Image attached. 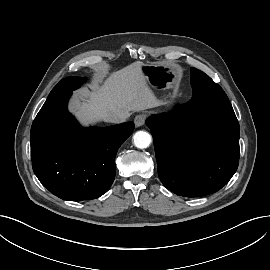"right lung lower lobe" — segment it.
<instances>
[{
	"instance_id": "right-lung-lower-lobe-1",
	"label": "right lung lower lobe",
	"mask_w": 270,
	"mask_h": 270,
	"mask_svg": "<svg viewBox=\"0 0 270 270\" xmlns=\"http://www.w3.org/2000/svg\"><path fill=\"white\" fill-rule=\"evenodd\" d=\"M70 96L48 98L33 121V171L61 199H96L113 183L117 150L132 134L134 124L82 128L67 110Z\"/></svg>"
}]
</instances>
